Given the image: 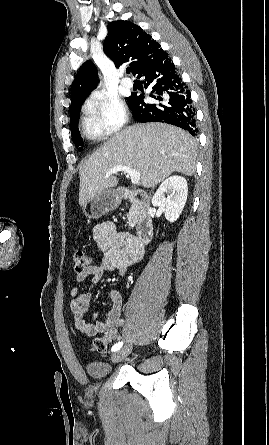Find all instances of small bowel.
<instances>
[{"label":"small bowel","instance_id":"obj_1","mask_svg":"<svg viewBox=\"0 0 269 445\" xmlns=\"http://www.w3.org/2000/svg\"><path fill=\"white\" fill-rule=\"evenodd\" d=\"M93 238L102 251L98 263L90 265L82 273L76 275V282L83 283L90 279L87 287L76 286L70 290L69 312L77 330L87 336L105 333L110 336L109 342L116 337V328L124 320L121 318L122 297L118 290L108 291L112 307L105 320L96 321L97 313L91 304V289L97 285L106 272L124 274L127 269L140 261L144 255V247L136 237L117 230L111 222H103L93 228Z\"/></svg>","mask_w":269,"mask_h":445}]
</instances>
